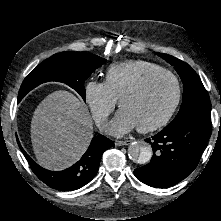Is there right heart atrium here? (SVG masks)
<instances>
[{
  "mask_svg": "<svg viewBox=\"0 0 221 221\" xmlns=\"http://www.w3.org/2000/svg\"><path fill=\"white\" fill-rule=\"evenodd\" d=\"M83 93L93 118L98 124L103 123L114 110L117 99L105 82L94 79L85 82Z\"/></svg>",
  "mask_w": 221,
  "mask_h": 221,
  "instance_id": "right-heart-atrium-1",
  "label": "right heart atrium"
}]
</instances>
